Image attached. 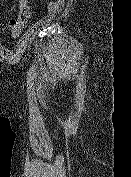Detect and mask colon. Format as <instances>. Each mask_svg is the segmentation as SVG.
Wrapping results in <instances>:
<instances>
[{"label": "colon", "instance_id": "obj_1", "mask_svg": "<svg viewBox=\"0 0 131 177\" xmlns=\"http://www.w3.org/2000/svg\"><path fill=\"white\" fill-rule=\"evenodd\" d=\"M19 11L11 17L9 35L12 39L17 38L25 28L30 17V0H18Z\"/></svg>", "mask_w": 131, "mask_h": 177}]
</instances>
